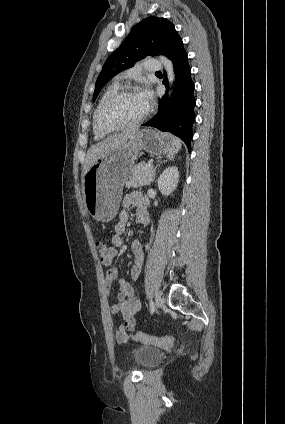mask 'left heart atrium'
Here are the masks:
<instances>
[{"instance_id":"left-heart-atrium-1","label":"left heart atrium","mask_w":285,"mask_h":424,"mask_svg":"<svg viewBox=\"0 0 285 424\" xmlns=\"http://www.w3.org/2000/svg\"><path fill=\"white\" fill-rule=\"evenodd\" d=\"M139 96L142 99L146 109H149L153 103V93L148 86H145L140 92Z\"/></svg>"}]
</instances>
